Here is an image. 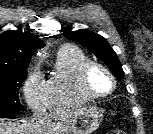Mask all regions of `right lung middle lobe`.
I'll list each match as a JSON object with an SVG mask.
<instances>
[{
	"instance_id": "dd1d6c3e",
	"label": "right lung middle lobe",
	"mask_w": 153,
	"mask_h": 134,
	"mask_svg": "<svg viewBox=\"0 0 153 134\" xmlns=\"http://www.w3.org/2000/svg\"><path fill=\"white\" fill-rule=\"evenodd\" d=\"M27 71L0 72V113H17L24 109L18 91Z\"/></svg>"
}]
</instances>
